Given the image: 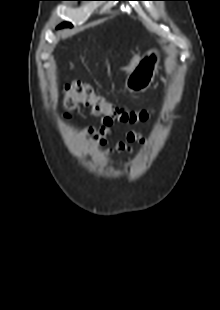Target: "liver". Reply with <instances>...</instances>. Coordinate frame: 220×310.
I'll return each instance as SVG.
<instances>
[{
  "instance_id": "obj_1",
  "label": "liver",
  "mask_w": 220,
  "mask_h": 310,
  "mask_svg": "<svg viewBox=\"0 0 220 310\" xmlns=\"http://www.w3.org/2000/svg\"><path fill=\"white\" fill-rule=\"evenodd\" d=\"M140 60V56L139 55H135L132 60L131 63L128 67H126V72L129 73L132 71V69L136 66V64L139 62Z\"/></svg>"
}]
</instances>
